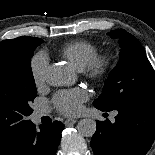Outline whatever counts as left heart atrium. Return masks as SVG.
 Here are the masks:
<instances>
[{
    "mask_svg": "<svg viewBox=\"0 0 155 155\" xmlns=\"http://www.w3.org/2000/svg\"><path fill=\"white\" fill-rule=\"evenodd\" d=\"M87 99L82 89L61 91L55 94L53 102L58 111L66 116H75L81 112V104Z\"/></svg>",
    "mask_w": 155,
    "mask_h": 155,
    "instance_id": "39dd6f15",
    "label": "left heart atrium"
}]
</instances>
